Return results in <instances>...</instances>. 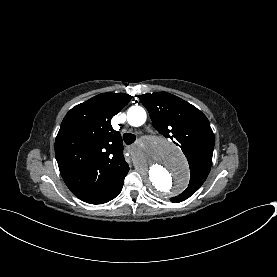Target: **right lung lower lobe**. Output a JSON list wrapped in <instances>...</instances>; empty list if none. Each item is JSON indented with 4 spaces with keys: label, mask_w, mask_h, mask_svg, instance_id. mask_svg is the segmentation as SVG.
Listing matches in <instances>:
<instances>
[{
    "label": "right lung lower lobe",
    "mask_w": 277,
    "mask_h": 277,
    "mask_svg": "<svg viewBox=\"0 0 277 277\" xmlns=\"http://www.w3.org/2000/svg\"><path fill=\"white\" fill-rule=\"evenodd\" d=\"M129 170V169H128ZM128 170L125 172L124 176L122 177L121 181L117 184V186L110 192L108 193L107 195L91 202V204H102V203H106L112 199H114L116 196L119 195V193L121 192L122 190V187H123V183H124V178L125 176L127 175L128 173Z\"/></svg>",
    "instance_id": "right-lung-lower-lobe-1"
}]
</instances>
